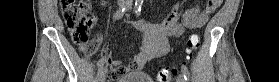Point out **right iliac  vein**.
Here are the masks:
<instances>
[{
	"label": "right iliac vein",
	"mask_w": 279,
	"mask_h": 82,
	"mask_svg": "<svg viewBox=\"0 0 279 82\" xmlns=\"http://www.w3.org/2000/svg\"><path fill=\"white\" fill-rule=\"evenodd\" d=\"M124 3H125L124 0L120 1L119 6L120 7L124 6ZM97 77H98V82H105L106 70L104 68H100Z\"/></svg>",
	"instance_id": "right-iliac-vein-1"
}]
</instances>
